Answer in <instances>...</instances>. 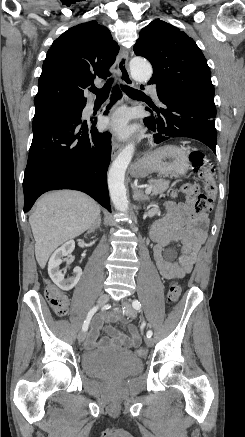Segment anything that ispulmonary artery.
<instances>
[{"instance_id":"obj_1","label":"pulmonary artery","mask_w":245,"mask_h":437,"mask_svg":"<svg viewBox=\"0 0 245 437\" xmlns=\"http://www.w3.org/2000/svg\"><path fill=\"white\" fill-rule=\"evenodd\" d=\"M147 89H148V90L153 94V96H154L156 99H158V96H157V89H156L154 86H148ZM93 106H94V104H93V103H90V104L88 105V109H91Z\"/></svg>"}]
</instances>
